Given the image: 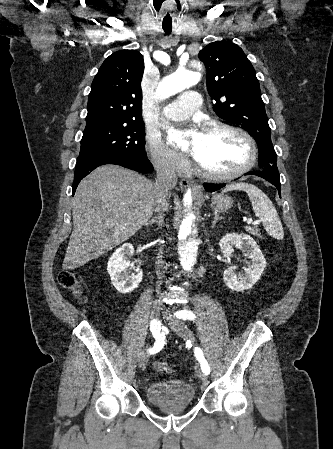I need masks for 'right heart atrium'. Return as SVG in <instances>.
Returning <instances> with one entry per match:
<instances>
[{
  "label": "right heart atrium",
  "instance_id": "right-heart-atrium-1",
  "mask_svg": "<svg viewBox=\"0 0 333 449\" xmlns=\"http://www.w3.org/2000/svg\"><path fill=\"white\" fill-rule=\"evenodd\" d=\"M146 149L152 164L162 172L180 175L188 167L186 159L168 148L155 136H147Z\"/></svg>",
  "mask_w": 333,
  "mask_h": 449
}]
</instances>
